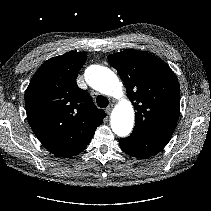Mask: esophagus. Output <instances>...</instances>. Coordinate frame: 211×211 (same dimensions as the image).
<instances>
[{
    "label": "esophagus",
    "mask_w": 211,
    "mask_h": 211,
    "mask_svg": "<svg viewBox=\"0 0 211 211\" xmlns=\"http://www.w3.org/2000/svg\"><path fill=\"white\" fill-rule=\"evenodd\" d=\"M112 108H113V105H110V106H108L107 108H106V113L109 115L110 113H111V111H112Z\"/></svg>",
    "instance_id": "1"
}]
</instances>
